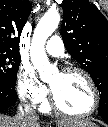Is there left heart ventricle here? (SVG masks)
<instances>
[{"mask_svg":"<svg viewBox=\"0 0 108 127\" xmlns=\"http://www.w3.org/2000/svg\"><path fill=\"white\" fill-rule=\"evenodd\" d=\"M58 104L70 113L87 111L92 102L90 88L79 73H55L49 81Z\"/></svg>","mask_w":108,"mask_h":127,"instance_id":"b2bd125f","label":"left heart ventricle"}]
</instances>
